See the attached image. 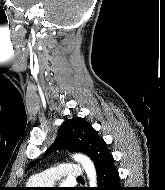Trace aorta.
Wrapping results in <instances>:
<instances>
[{
    "label": "aorta",
    "instance_id": "762f6f07",
    "mask_svg": "<svg viewBox=\"0 0 165 190\" xmlns=\"http://www.w3.org/2000/svg\"><path fill=\"white\" fill-rule=\"evenodd\" d=\"M74 158L76 161L80 162L83 165L85 172L88 176L90 186L95 187L97 185L96 170L92 161L82 154H76Z\"/></svg>",
    "mask_w": 165,
    "mask_h": 190
}]
</instances>
